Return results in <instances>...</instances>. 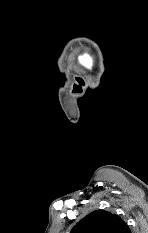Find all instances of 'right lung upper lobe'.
<instances>
[{
    "mask_svg": "<svg viewBox=\"0 0 148 233\" xmlns=\"http://www.w3.org/2000/svg\"><path fill=\"white\" fill-rule=\"evenodd\" d=\"M71 233H131V231L117 215L97 210L81 219Z\"/></svg>",
    "mask_w": 148,
    "mask_h": 233,
    "instance_id": "right-lung-upper-lobe-1",
    "label": "right lung upper lobe"
}]
</instances>
